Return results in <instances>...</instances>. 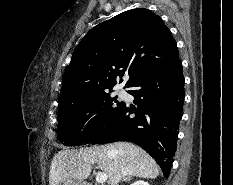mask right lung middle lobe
<instances>
[{
	"label": "right lung middle lobe",
	"instance_id": "obj_1",
	"mask_svg": "<svg viewBox=\"0 0 233 185\" xmlns=\"http://www.w3.org/2000/svg\"><path fill=\"white\" fill-rule=\"evenodd\" d=\"M124 102L111 97L109 90L93 94L59 108L58 135L66 146L86 142L115 115Z\"/></svg>",
	"mask_w": 233,
	"mask_h": 185
}]
</instances>
